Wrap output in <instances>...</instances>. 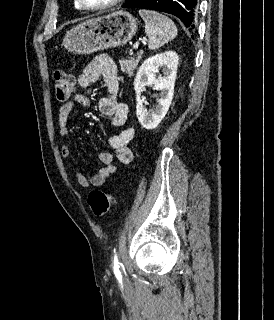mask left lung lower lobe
I'll list each match as a JSON object with an SVG mask.
<instances>
[{
	"mask_svg": "<svg viewBox=\"0 0 274 320\" xmlns=\"http://www.w3.org/2000/svg\"><path fill=\"white\" fill-rule=\"evenodd\" d=\"M122 7L171 13L177 16L189 29L195 27L197 0H128Z\"/></svg>",
	"mask_w": 274,
	"mask_h": 320,
	"instance_id": "1",
	"label": "left lung lower lobe"
}]
</instances>
